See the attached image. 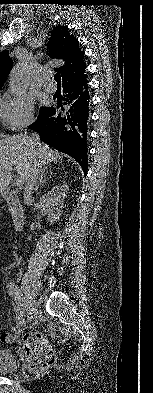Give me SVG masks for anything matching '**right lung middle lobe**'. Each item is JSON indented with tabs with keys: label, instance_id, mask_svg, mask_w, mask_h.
Instances as JSON below:
<instances>
[{
	"label": "right lung middle lobe",
	"instance_id": "right-lung-middle-lobe-1",
	"mask_svg": "<svg viewBox=\"0 0 153 393\" xmlns=\"http://www.w3.org/2000/svg\"><path fill=\"white\" fill-rule=\"evenodd\" d=\"M47 108H48V107H41V108H40V114L43 113ZM40 114H39V115H40ZM30 126H31V125H30ZM30 126H29V128H30Z\"/></svg>",
	"mask_w": 153,
	"mask_h": 393
}]
</instances>
